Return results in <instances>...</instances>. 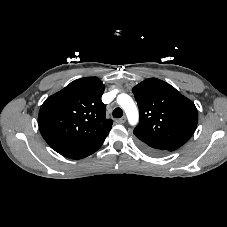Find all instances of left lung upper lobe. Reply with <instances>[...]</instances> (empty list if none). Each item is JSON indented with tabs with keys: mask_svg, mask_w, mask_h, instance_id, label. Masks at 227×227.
I'll return each instance as SVG.
<instances>
[{
	"mask_svg": "<svg viewBox=\"0 0 227 227\" xmlns=\"http://www.w3.org/2000/svg\"><path fill=\"white\" fill-rule=\"evenodd\" d=\"M132 92L140 115L134 135L142 145L168 152L190 139L198 122L197 109L191 100L157 78L144 80Z\"/></svg>",
	"mask_w": 227,
	"mask_h": 227,
	"instance_id": "1",
	"label": "left lung upper lobe"
}]
</instances>
